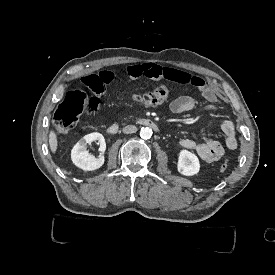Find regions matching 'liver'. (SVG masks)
Instances as JSON below:
<instances>
[{"label":"liver","instance_id":"obj_1","mask_svg":"<svg viewBox=\"0 0 275 275\" xmlns=\"http://www.w3.org/2000/svg\"><path fill=\"white\" fill-rule=\"evenodd\" d=\"M49 145H50L51 151L55 153L57 150L58 141H57V135L54 131H50L49 133Z\"/></svg>","mask_w":275,"mask_h":275}]
</instances>
